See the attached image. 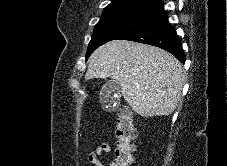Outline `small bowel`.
Returning a JSON list of instances; mask_svg holds the SVG:
<instances>
[{"instance_id": "c3829d8e", "label": "small bowel", "mask_w": 227, "mask_h": 166, "mask_svg": "<svg viewBox=\"0 0 227 166\" xmlns=\"http://www.w3.org/2000/svg\"><path fill=\"white\" fill-rule=\"evenodd\" d=\"M110 149L111 148L108 143H103L96 147L93 151L89 152L86 156V160L94 166H105L102 159L109 154Z\"/></svg>"}]
</instances>
